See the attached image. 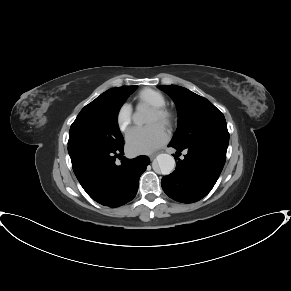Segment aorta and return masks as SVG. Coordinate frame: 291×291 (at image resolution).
I'll return each instance as SVG.
<instances>
[{
	"instance_id": "obj_1",
	"label": "aorta",
	"mask_w": 291,
	"mask_h": 291,
	"mask_svg": "<svg viewBox=\"0 0 291 291\" xmlns=\"http://www.w3.org/2000/svg\"><path fill=\"white\" fill-rule=\"evenodd\" d=\"M148 110L143 107H138L132 116L133 122L141 126L148 121ZM157 166L163 175H169L175 169L174 157L169 154H159L156 158Z\"/></svg>"
}]
</instances>
